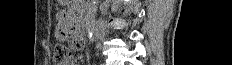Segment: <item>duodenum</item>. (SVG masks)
<instances>
[{"label":"duodenum","mask_w":232,"mask_h":65,"mask_svg":"<svg viewBox=\"0 0 232 65\" xmlns=\"http://www.w3.org/2000/svg\"><path fill=\"white\" fill-rule=\"evenodd\" d=\"M77 33L79 41L82 40L85 35V21L83 19L78 21Z\"/></svg>","instance_id":"duodenum-1"}]
</instances>
